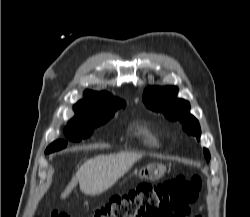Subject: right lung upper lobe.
<instances>
[{
  "label": "right lung upper lobe",
  "instance_id": "obj_1",
  "mask_svg": "<svg viewBox=\"0 0 250 217\" xmlns=\"http://www.w3.org/2000/svg\"><path fill=\"white\" fill-rule=\"evenodd\" d=\"M125 103L107 92L85 91V98L74 105L75 117L70 122H87L102 114L116 111Z\"/></svg>",
  "mask_w": 250,
  "mask_h": 217
}]
</instances>
